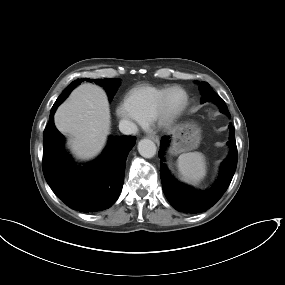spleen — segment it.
<instances>
[{"label":"spleen","instance_id":"1","mask_svg":"<svg viewBox=\"0 0 285 285\" xmlns=\"http://www.w3.org/2000/svg\"><path fill=\"white\" fill-rule=\"evenodd\" d=\"M177 166L182 179L187 183L198 184L206 176V159L200 152L181 154Z\"/></svg>","mask_w":285,"mask_h":285}]
</instances>
